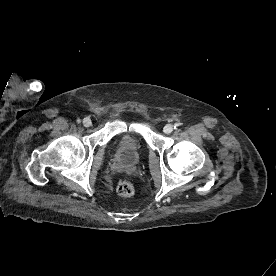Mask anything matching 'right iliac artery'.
I'll return each instance as SVG.
<instances>
[{"mask_svg": "<svg viewBox=\"0 0 276 276\" xmlns=\"http://www.w3.org/2000/svg\"><path fill=\"white\" fill-rule=\"evenodd\" d=\"M77 123H80L81 122V120L80 119H77V121H76Z\"/></svg>", "mask_w": 276, "mask_h": 276, "instance_id": "obj_1", "label": "right iliac artery"}]
</instances>
